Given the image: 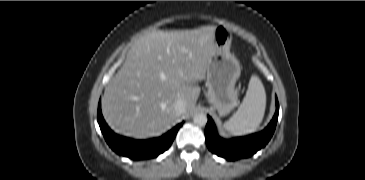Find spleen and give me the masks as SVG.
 <instances>
[{
  "label": "spleen",
  "mask_w": 365,
  "mask_h": 180,
  "mask_svg": "<svg viewBox=\"0 0 365 180\" xmlns=\"http://www.w3.org/2000/svg\"><path fill=\"white\" fill-rule=\"evenodd\" d=\"M266 93L258 76L250 78L246 95L236 113L224 123V128L234 135L255 132L263 120Z\"/></svg>",
  "instance_id": "spleen-1"
}]
</instances>
